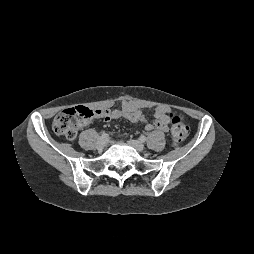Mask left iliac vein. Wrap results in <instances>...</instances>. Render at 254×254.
<instances>
[{
  "mask_svg": "<svg viewBox=\"0 0 254 254\" xmlns=\"http://www.w3.org/2000/svg\"><path fill=\"white\" fill-rule=\"evenodd\" d=\"M130 145L138 152H142L145 149L144 145L138 140H130Z\"/></svg>",
  "mask_w": 254,
  "mask_h": 254,
  "instance_id": "4c4485c4",
  "label": "left iliac vein"
}]
</instances>
